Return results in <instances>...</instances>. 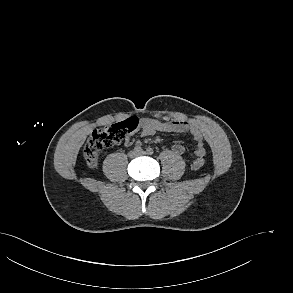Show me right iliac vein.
<instances>
[{
	"instance_id": "1",
	"label": "right iliac vein",
	"mask_w": 293,
	"mask_h": 293,
	"mask_svg": "<svg viewBox=\"0 0 293 293\" xmlns=\"http://www.w3.org/2000/svg\"><path fill=\"white\" fill-rule=\"evenodd\" d=\"M136 155H137V153L135 151H132V152L129 153V156L131 158L135 157Z\"/></svg>"
}]
</instances>
